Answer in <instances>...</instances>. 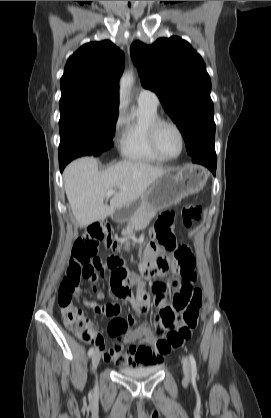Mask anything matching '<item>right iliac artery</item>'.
I'll return each instance as SVG.
<instances>
[{
	"label": "right iliac artery",
	"mask_w": 271,
	"mask_h": 418,
	"mask_svg": "<svg viewBox=\"0 0 271 418\" xmlns=\"http://www.w3.org/2000/svg\"><path fill=\"white\" fill-rule=\"evenodd\" d=\"M94 354V348H90L88 351V356L91 357Z\"/></svg>",
	"instance_id": "82829eb1"
}]
</instances>
